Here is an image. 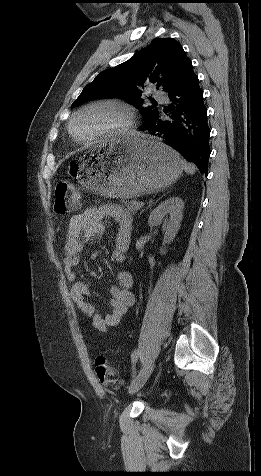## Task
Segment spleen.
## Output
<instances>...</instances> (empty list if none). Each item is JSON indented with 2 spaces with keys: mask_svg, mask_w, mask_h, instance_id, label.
I'll return each mask as SVG.
<instances>
[{
  "mask_svg": "<svg viewBox=\"0 0 261 476\" xmlns=\"http://www.w3.org/2000/svg\"><path fill=\"white\" fill-rule=\"evenodd\" d=\"M182 167L185 170V172L188 174H194L196 171L195 165L188 163L185 160H182Z\"/></svg>",
  "mask_w": 261,
  "mask_h": 476,
  "instance_id": "spleen-1",
  "label": "spleen"
}]
</instances>
